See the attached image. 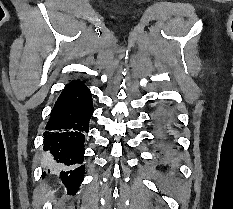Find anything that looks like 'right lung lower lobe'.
<instances>
[{
  "label": "right lung lower lobe",
  "instance_id": "1",
  "mask_svg": "<svg viewBox=\"0 0 233 209\" xmlns=\"http://www.w3.org/2000/svg\"><path fill=\"white\" fill-rule=\"evenodd\" d=\"M93 114L90 90L81 81L69 83L58 97L46 125L44 150L66 167L61 179L70 194H75L83 180L85 133Z\"/></svg>",
  "mask_w": 233,
  "mask_h": 209
}]
</instances>
